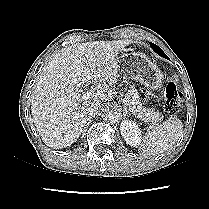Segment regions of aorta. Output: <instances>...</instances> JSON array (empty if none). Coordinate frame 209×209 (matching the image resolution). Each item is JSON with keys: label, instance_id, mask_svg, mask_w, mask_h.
<instances>
[{"label": "aorta", "instance_id": "762f6f07", "mask_svg": "<svg viewBox=\"0 0 209 209\" xmlns=\"http://www.w3.org/2000/svg\"><path fill=\"white\" fill-rule=\"evenodd\" d=\"M120 119V114L114 110H108L103 114V120L108 124L117 123Z\"/></svg>", "mask_w": 209, "mask_h": 209}]
</instances>
